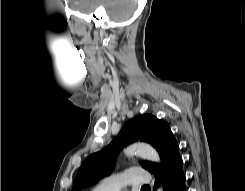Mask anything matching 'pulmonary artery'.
Wrapping results in <instances>:
<instances>
[{
    "mask_svg": "<svg viewBox=\"0 0 245 191\" xmlns=\"http://www.w3.org/2000/svg\"><path fill=\"white\" fill-rule=\"evenodd\" d=\"M151 183V174L142 168H128L110 176L92 191H120L127 186H144Z\"/></svg>",
    "mask_w": 245,
    "mask_h": 191,
    "instance_id": "1",
    "label": "pulmonary artery"
}]
</instances>
